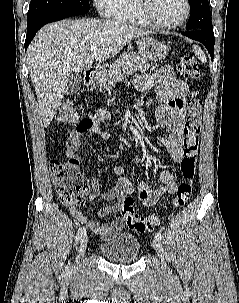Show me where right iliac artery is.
Masks as SVG:
<instances>
[{"instance_id":"right-iliac-artery-1","label":"right iliac artery","mask_w":239,"mask_h":303,"mask_svg":"<svg viewBox=\"0 0 239 303\" xmlns=\"http://www.w3.org/2000/svg\"><path fill=\"white\" fill-rule=\"evenodd\" d=\"M86 234V228L85 227H82L78 230L77 232V235H76V238H75V241L78 243V241ZM69 270V267L67 266L65 268V272H68Z\"/></svg>"}]
</instances>
